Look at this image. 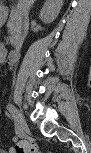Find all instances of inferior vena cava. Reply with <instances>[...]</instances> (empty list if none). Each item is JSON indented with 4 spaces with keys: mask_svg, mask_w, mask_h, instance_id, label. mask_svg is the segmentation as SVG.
Returning <instances> with one entry per match:
<instances>
[{
    "mask_svg": "<svg viewBox=\"0 0 91 153\" xmlns=\"http://www.w3.org/2000/svg\"><path fill=\"white\" fill-rule=\"evenodd\" d=\"M27 30H28V20H27V17H26L25 20H24V33L25 34H26Z\"/></svg>",
    "mask_w": 91,
    "mask_h": 153,
    "instance_id": "obj_1",
    "label": "inferior vena cava"
}]
</instances>
